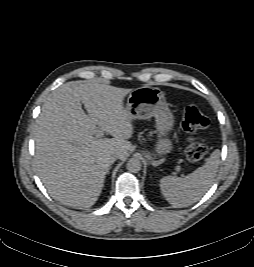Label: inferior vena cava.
I'll list each match as a JSON object with an SVG mask.
<instances>
[{
    "instance_id": "1",
    "label": "inferior vena cava",
    "mask_w": 254,
    "mask_h": 267,
    "mask_svg": "<svg viewBox=\"0 0 254 267\" xmlns=\"http://www.w3.org/2000/svg\"><path fill=\"white\" fill-rule=\"evenodd\" d=\"M117 159H119L118 154H113V155L110 157V161H111V163L115 162Z\"/></svg>"
}]
</instances>
